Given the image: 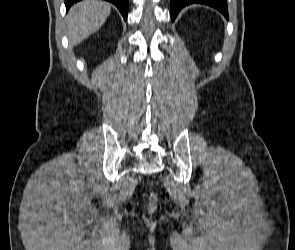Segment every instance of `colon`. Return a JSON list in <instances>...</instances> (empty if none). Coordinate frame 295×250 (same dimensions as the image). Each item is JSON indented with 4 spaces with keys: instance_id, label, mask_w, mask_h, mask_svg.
I'll use <instances>...</instances> for the list:
<instances>
[{
    "instance_id": "5ec220e1",
    "label": "colon",
    "mask_w": 295,
    "mask_h": 250,
    "mask_svg": "<svg viewBox=\"0 0 295 250\" xmlns=\"http://www.w3.org/2000/svg\"><path fill=\"white\" fill-rule=\"evenodd\" d=\"M156 205H157V198H156V196L154 194H151L150 198H149V208H150V210H154Z\"/></svg>"
}]
</instances>
